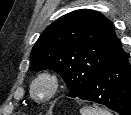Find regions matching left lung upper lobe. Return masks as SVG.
<instances>
[{
  "mask_svg": "<svg viewBox=\"0 0 131 115\" xmlns=\"http://www.w3.org/2000/svg\"><path fill=\"white\" fill-rule=\"evenodd\" d=\"M125 54L108 19L94 10L80 9L44 30L32 49L31 65L34 71H56L69 88L67 96L75 98Z\"/></svg>",
  "mask_w": 131,
  "mask_h": 115,
  "instance_id": "obj_1",
  "label": "left lung upper lobe"
}]
</instances>
